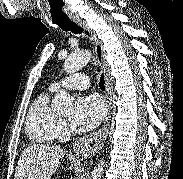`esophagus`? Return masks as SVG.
<instances>
[{
	"mask_svg": "<svg viewBox=\"0 0 183 179\" xmlns=\"http://www.w3.org/2000/svg\"><path fill=\"white\" fill-rule=\"evenodd\" d=\"M76 23L84 29L86 34H90L93 37L94 43H95V53L98 60V63L101 67V70L105 77V87H106V102L108 105V113L105 118V121L101 127L100 130L97 132H94L90 134L87 137H83L79 139L75 145H74V151L79 154H93L97 150L101 149L104 145V142L106 140L107 134H108V128L110 124V118H111V91H112V81L110 77V71L108 67V63L106 61V53L103 49L102 42L98 39L95 32L89 28L86 22L77 19Z\"/></svg>",
	"mask_w": 183,
	"mask_h": 179,
	"instance_id": "esophagus-1",
	"label": "esophagus"
}]
</instances>
